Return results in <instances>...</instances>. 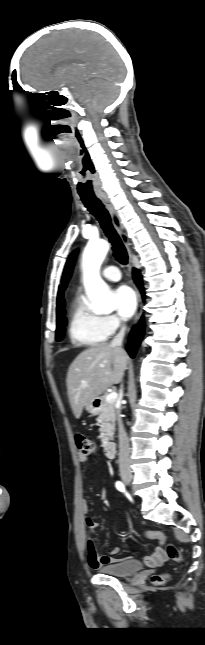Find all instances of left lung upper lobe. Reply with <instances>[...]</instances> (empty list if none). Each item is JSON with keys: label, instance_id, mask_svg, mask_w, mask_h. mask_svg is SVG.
Listing matches in <instances>:
<instances>
[{"label": "left lung upper lobe", "instance_id": "1", "mask_svg": "<svg viewBox=\"0 0 205 645\" xmlns=\"http://www.w3.org/2000/svg\"><path fill=\"white\" fill-rule=\"evenodd\" d=\"M76 253H77V251H74L72 253V255L70 256L68 262H67L66 269H65V275H64V279H63L64 288H65V286H66V284L68 282V279L70 278V273L72 271V267H73V263H74V260H75V257H76Z\"/></svg>", "mask_w": 205, "mask_h": 645}]
</instances>
